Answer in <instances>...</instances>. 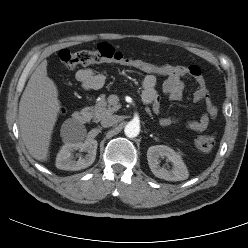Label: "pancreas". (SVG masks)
<instances>
[{
	"label": "pancreas",
	"instance_id": "cf45deb5",
	"mask_svg": "<svg viewBox=\"0 0 248 248\" xmlns=\"http://www.w3.org/2000/svg\"><path fill=\"white\" fill-rule=\"evenodd\" d=\"M119 108V104L111 106L108 104L105 96H102L100 101L94 107H90L89 110L92 112L94 120L98 121L106 116L112 115Z\"/></svg>",
	"mask_w": 248,
	"mask_h": 248
}]
</instances>
